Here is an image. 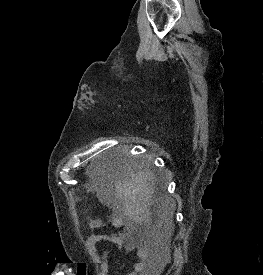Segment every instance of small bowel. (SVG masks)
I'll list each match as a JSON object with an SVG mask.
<instances>
[{
    "mask_svg": "<svg viewBox=\"0 0 263 275\" xmlns=\"http://www.w3.org/2000/svg\"><path fill=\"white\" fill-rule=\"evenodd\" d=\"M103 225L100 220H92L89 222V228H99ZM103 240L118 242L125 247L128 248H136L137 254V262L134 265V269L132 272L128 273L127 275H155L158 271V268L155 267L152 262L150 261V257L147 251V248L144 247L142 244L134 245L133 241L126 236L121 237H107L106 235L95 234L88 238L87 244L88 249L93 257L94 261L97 263H102V257L99 256L97 253V243ZM99 275H105L104 273H100Z\"/></svg>",
    "mask_w": 263,
    "mask_h": 275,
    "instance_id": "1",
    "label": "small bowel"
}]
</instances>
